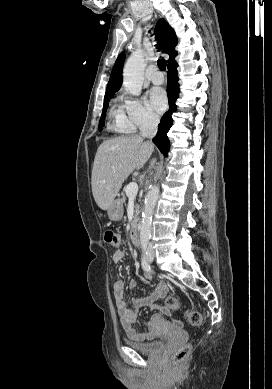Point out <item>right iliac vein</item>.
Segmentation results:
<instances>
[{
    "instance_id": "63e3f726",
    "label": "right iliac vein",
    "mask_w": 272,
    "mask_h": 389,
    "mask_svg": "<svg viewBox=\"0 0 272 389\" xmlns=\"http://www.w3.org/2000/svg\"><path fill=\"white\" fill-rule=\"evenodd\" d=\"M153 258H154V255H153L152 253H147V259H148L149 261H152Z\"/></svg>"
}]
</instances>
